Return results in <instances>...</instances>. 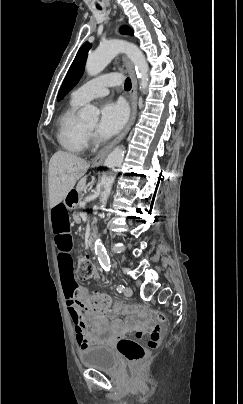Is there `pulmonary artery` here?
Masks as SVG:
<instances>
[{
  "label": "pulmonary artery",
  "instance_id": "obj_1",
  "mask_svg": "<svg viewBox=\"0 0 243 404\" xmlns=\"http://www.w3.org/2000/svg\"><path fill=\"white\" fill-rule=\"evenodd\" d=\"M107 62V60L105 61ZM122 83V79L117 74L107 73L102 74L92 79H89L76 88V93L85 102L105 96L108 89L113 86H118Z\"/></svg>",
  "mask_w": 243,
  "mask_h": 404
}]
</instances>
